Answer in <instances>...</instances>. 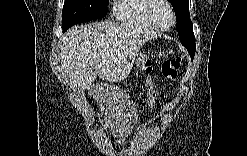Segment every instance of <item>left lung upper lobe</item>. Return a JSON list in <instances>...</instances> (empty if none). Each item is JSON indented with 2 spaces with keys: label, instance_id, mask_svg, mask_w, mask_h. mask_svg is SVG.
<instances>
[{
  "label": "left lung upper lobe",
  "instance_id": "obj_1",
  "mask_svg": "<svg viewBox=\"0 0 247 156\" xmlns=\"http://www.w3.org/2000/svg\"><path fill=\"white\" fill-rule=\"evenodd\" d=\"M176 14L178 35L181 44L187 48L190 56L195 55V37L189 15V0H170Z\"/></svg>",
  "mask_w": 247,
  "mask_h": 156
}]
</instances>
